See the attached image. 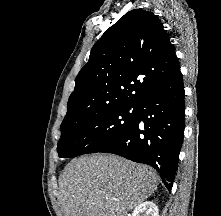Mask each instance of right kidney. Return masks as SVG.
<instances>
[{"label":"right kidney","instance_id":"right-kidney-1","mask_svg":"<svg viewBox=\"0 0 221 216\" xmlns=\"http://www.w3.org/2000/svg\"><path fill=\"white\" fill-rule=\"evenodd\" d=\"M132 216H159V209L152 201H146L135 207Z\"/></svg>","mask_w":221,"mask_h":216}]
</instances>
